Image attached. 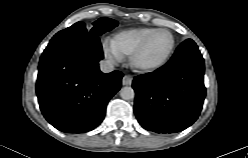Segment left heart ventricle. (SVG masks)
Masks as SVG:
<instances>
[{"mask_svg":"<svg viewBox=\"0 0 248 158\" xmlns=\"http://www.w3.org/2000/svg\"><path fill=\"white\" fill-rule=\"evenodd\" d=\"M171 45V37L165 32H159L152 36L139 62L142 65H150L161 60L168 52Z\"/></svg>","mask_w":248,"mask_h":158,"instance_id":"obj_1","label":"left heart ventricle"}]
</instances>
